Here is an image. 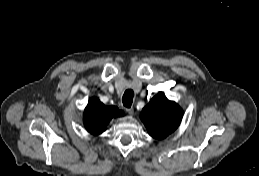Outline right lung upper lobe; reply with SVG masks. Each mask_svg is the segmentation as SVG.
<instances>
[{
  "instance_id": "right-lung-upper-lobe-1",
  "label": "right lung upper lobe",
  "mask_w": 259,
  "mask_h": 176,
  "mask_svg": "<svg viewBox=\"0 0 259 176\" xmlns=\"http://www.w3.org/2000/svg\"><path fill=\"white\" fill-rule=\"evenodd\" d=\"M124 112L115 106H105L99 99L93 97L88 102L84 112V126L93 135L105 131L106 126L113 117L123 116Z\"/></svg>"
}]
</instances>
